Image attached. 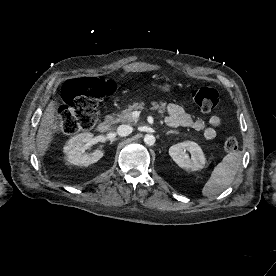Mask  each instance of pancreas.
Wrapping results in <instances>:
<instances>
[{
  "instance_id": "pancreas-1",
  "label": "pancreas",
  "mask_w": 276,
  "mask_h": 276,
  "mask_svg": "<svg viewBox=\"0 0 276 276\" xmlns=\"http://www.w3.org/2000/svg\"><path fill=\"white\" fill-rule=\"evenodd\" d=\"M151 110H158L159 113H163L165 111L166 103L161 102L160 104L157 102L151 103ZM142 109V104L135 103L130 105L128 108L122 110L120 113L112 114L107 116V120L112 123H130V124H137L138 119L132 116L134 110Z\"/></svg>"
}]
</instances>
